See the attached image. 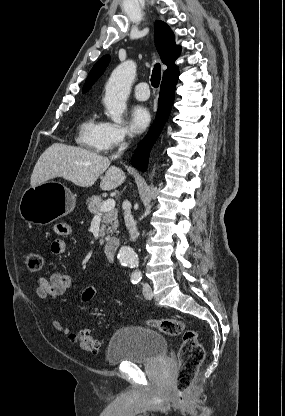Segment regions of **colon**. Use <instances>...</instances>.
Listing matches in <instances>:
<instances>
[{"mask_svg": "<svg viewBox=\"0 0 285 416\" xmlns=\"http://www.w3.org/2000/svg\"><path fill=\"white\" fill-rule=\"evenodd\" d=\"M24 263L29 273L36 275L44 266V257L37 251H28L24 255ZM95 293L94 287H87L82 293V301L90 302ZM146 323L166 335L182 336L178 353L179 366L173 382L172 395L178 406L185 407L189 402L188 391L205 357L198 334L184 321L178 319H150ZM70 338L84 351L98 353L101 349V339L93 336L88 330L73 333Z\"/></svg>", "mask_w": 285, "mask_h": 416, "instance_id": "1", "label": "colon"}]
</instances>
